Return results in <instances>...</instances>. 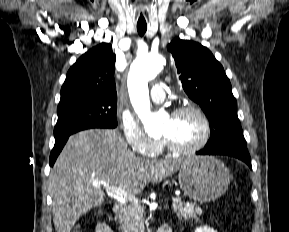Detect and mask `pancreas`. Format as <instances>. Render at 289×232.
<instances>
[{"label": "pancreas", "mask_w": 289, "mask_h": 232, "mask_svg": "<svg viewBox=\"0 0 289 232\" xmlns=\"http://www.w3.org/2000/svg\"><path fill=\"white\" fill-rule=\"evenodd\" d=\"M173 211L179 219H196L202 213L201 208L192 203L178 202L174 204ZM144 210L141 206L132 204L124 209L120 218L122 232H144Z\"/></svg>", "instance_id": "obj_1"}]
</instances>
